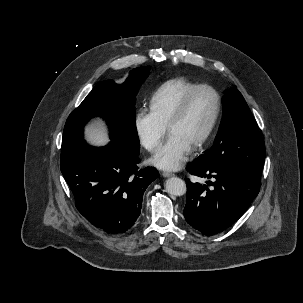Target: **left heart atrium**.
Wrapping results in <instances>:
<instances>
[{
  "label": "left heart atrium",
  "instance_id": "39dd6f15",
  "mask_svg": "<svg viewBox=\"0 0 303 303\" xmlns=\"http://www.w3.org/2000/svg\"><path fill=\"white\" fill-rule=\"evenodd\" d=\"M192 146L177 133H170L166 142L151 158V163L163 170H177L187 160Z\"/></svg>",
  "mask_w": 303,
  "mask_h": 303
}]
</instances>
